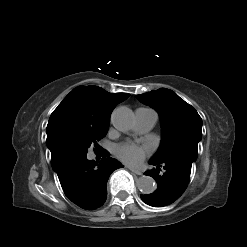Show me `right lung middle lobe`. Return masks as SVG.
I'll return each instance as SVG.
<instances>
[{
	"label": "right lung middle lobe",
	"instance_id": "right-lung-middle-lobe-1",
	"mask_svg": "<svg viewBox=\"0 0 247 247\" xmlns=\"http://www.w3.org/2000/svg\"><path fill=\"white\" fill-rule=\"evenodd\" d=\"M109 123L63 109L53 120L51 141L57 151L87 154L90 146L98 147L97 141L107 134Z\"/></svg>",
	"mask_w": 247,
	"mask_h": 247
}]
</instances>
